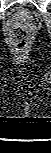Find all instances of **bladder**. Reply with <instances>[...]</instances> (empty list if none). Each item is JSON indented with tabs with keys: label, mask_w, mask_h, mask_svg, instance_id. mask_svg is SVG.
Returning <instances> with one entry per match:
<instances>
[{
	"label": "bladder",
	"mask_w": 51,
	"mask_h": 153,
	"mask_svg": "<svg viewBox=\"0 0 51 153\" xmlns=\"http://www.w3.org/2000/svg\"><path fill=\"white\" fill-rule=\"evenodd\" d=\"M24 15H28L27 12H25ZM29 19H32V17H30Z\"/></svg>",
	"instance_id": "1"
}]
</instances>
